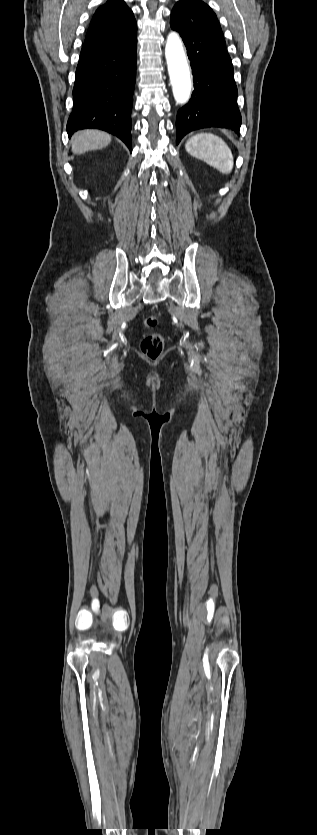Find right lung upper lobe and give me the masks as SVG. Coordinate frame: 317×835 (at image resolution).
<instances>
[{
    "label": "right lung upper lobe",
    "instance_id": "1",
    "mask_svg": "<svg viewBox=\"0 0 317 835\" xmlns=\"http://www.w3.org/2000/svg\"><path fill=\"white\" fill-rule=\"evenodd\" d=\"M137 32L133 12L123 0H109L95 12L85 42L96 40L115 45L130 39Z\"/></svg>",
    "mask_w": 317,
    "mask_h": 835
}]
</instances>
